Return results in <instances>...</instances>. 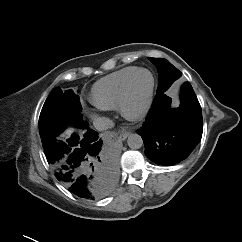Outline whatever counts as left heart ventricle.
Segmentation results:
<instances>
[{"instance_id": "left-heart-ventricle-1", "label": "left heart ventricle", "mask_w": 242, "mask_h": 242, "mask_svg": "<svg viewBox=\"0 0 242 242\" xmlns=\"http://www.w3.org/2000/svg\"><path fill=\"white\" fill-rule=\"evenodd\" d=\"M151 83L150 75L143 72L137 76L135 79L130 106L132 109H138L144 101L145 95Z\"/></svg>"}]
</instances>
